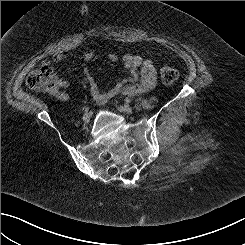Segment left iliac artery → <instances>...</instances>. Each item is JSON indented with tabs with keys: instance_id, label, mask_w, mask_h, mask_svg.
I'll return each mask as SVG.
<instances>
[{
	"instance_id": "1",
	"label": "left iliac artery",
	"mask_w": 245,
	"mask_h": 245,
	"mask_svg": "<svg viewBox=\"0 0 245 245\" xmlns=\"http://www.w3.org/2000/svg\"><path fill=\"white\" fill-rule=\"evenodd\" d=\"M130 103H132V99L126 98V99H125V104H126V105H129Z\"/></svg>"
}]
</instances>
